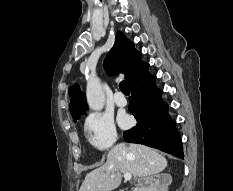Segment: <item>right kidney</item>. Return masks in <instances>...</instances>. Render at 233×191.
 <instances>
[{
  "mask_svg": "<svg viewBox=\"0 0 233 191\" xmlns=\"http://www.w3.org/2000/svg\"><path fill=\"white\" fill-rule=\"evenodd\" d=\"M171 183L172 176L170 174H157L149 178L148 186L144 191H168Z\"/></svg>",
  "mask_w": 233,
  "mask_h": 191,
  "instance_id": "ca27d5eb",
  "label": "right kidney"
}]
</instances>
